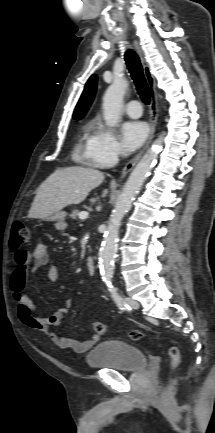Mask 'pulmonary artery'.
<instances>
[{"mask_svg":"<svg viewBox=\"0 0 215 433\" xmlns=\"http://www.w3.org/2000/svg\"><path fill=\"white\" fill-rule=\"evenodd\" d=\"M125 111L132 118H139L142 114L141 103L137 100L129 101L125 106Z\"/></svg>","mask_w":215,"mask_h":433,"instance_id":"1","label":"pulmonary artery"}]
</instances>
